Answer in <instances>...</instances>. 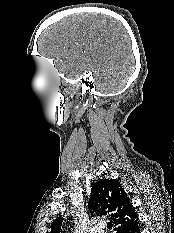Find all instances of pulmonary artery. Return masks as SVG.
<instances>
[{
	"mask_svg": "<svg viewBox=\"0 0 174 233\" xmlns=\"http://www.w3.org/2000/svg\"><path fill=\"white\" fill-rule=\"evenodd\" d=\"M90 233H105L101 226H94L90 229Z\"/></svg>",
	"mask_w": 174,
	"mask_h": 233,
	"instance_id": "1",
	"label": "pulmonary artery"
}]
</instances>
